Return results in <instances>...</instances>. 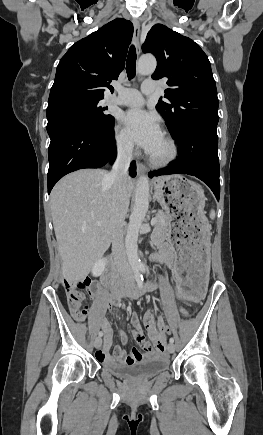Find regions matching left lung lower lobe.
Masks as SVG:
<instances>
[{"label":"left lung lower lobe","instance_id":"0a47b994","mask_svg":"<svg viewBox=\"0 0 263 435\" xmlns=\"http://www.w3.org/2000/svg\"><path fill=\"white\" fill-rule=\"evenodd\" d=\"M215 124H194L183 128L175 136L178 157L162 170L149 172V177L169 174H188L205 182L219 201L218 136Z\"/></svg>","mask_w":263,"mask_h":435}]
</instances>
